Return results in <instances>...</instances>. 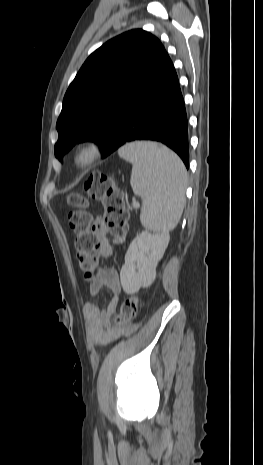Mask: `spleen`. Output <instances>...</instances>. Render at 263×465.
<instances>
[{"mask_svg":"<svg viewBox=\"0 0 263 465\" xmlns=\"http://www.w3.org/2000/svg\"><path fill=\"white\" fill-rule=\"evenodd\" d=\"M118 153L132 163L130 184L143 198L142 225L157 233L173 230L185 203L187 172L181 159L166 147L150 142L126 144Z\"/></svg>","mask_w":263,"mask_h":465,"instance_id":"obj_1","label":"spleen"}]
</instances>
